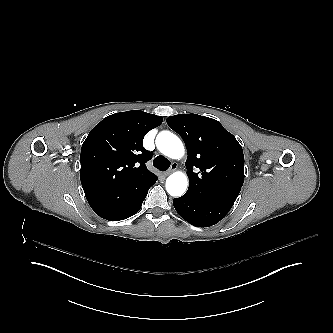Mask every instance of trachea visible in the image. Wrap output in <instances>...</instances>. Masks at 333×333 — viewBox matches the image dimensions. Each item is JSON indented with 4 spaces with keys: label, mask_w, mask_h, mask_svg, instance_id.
<instances>
[{
    "label": "trachea",
    "mask_w": 333,
    "mask_h": 333,
    "mask_svg": "<svg viewBox=\"0 0 333 333\" xmlns=\"http://www.w3.org/2000/svg\"><path fill=\"white\" fill-rule=\"evenodd\" d=\"M170 164L171 162L163 156H157L153 160L154 167L158 168L161 171L167 170L170 167Z\"/></svg>",
    "instance_id": "3493384b"
}]
</instances>
